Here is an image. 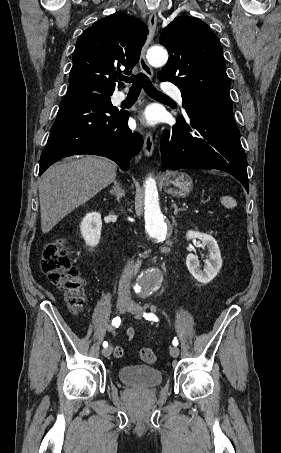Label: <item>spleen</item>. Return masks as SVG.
Instances as JSON below:
<instances>
[{"instance_id":"3e777b00","label":"spleen","mask_w":281,"mask_h":453,"mask_svg":"<svg viewBox=\"0 0 281 453\" xmlns=\"http://www.w3.org/2000/svg\"><path fill=\"white\" fill-rule=\"evenodd\" d=\"M220 202H222L226 208H234V206H237V202L235 198H232V196H222V198H220Z\"/></svg>"}]
</instances>
